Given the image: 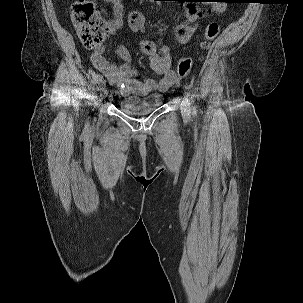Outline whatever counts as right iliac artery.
Listing matches in <instances>:
<instances>
[{
  "instance_id": "right-iliac-artery-1",
  "label": "right iliac artery",
  "mask_w": 303,
  "mask_h": 303,
  "mask_svg": "<svg viewBox=\"0 0 303 303\" xmlns=\"http://www.w3.org/2000/svg\"><path fill=\"white\" fill-rule=\"evenodd\" d=\"M95 83L97 85V90L101 91L105 88V81L102 79V76L97 75L95 77Z\"/></svg>"
}]
</instances>
